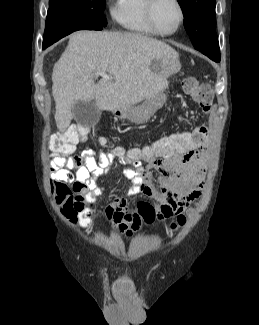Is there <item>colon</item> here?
Instances as JSON below:
<instances>
[{
    "instance_id": "1",
    "label": "colon",
    "mask_w": 259,
    "mask_h": 325,
    "mask_svg": "<svg viewBox=\"0 0 259 325\" xmlns=\"http://www.w3.org/2000/svg\"><path fill=\"white\" fill-rule=\"evenodd\" d=\"M182 89L194 102L199 104L205 112L211 109L212 105V90L210 87L202 83L196 77H186L182 81ZM87 127L78 126L72 127L64 132L54 135L50 140V149L55 156L67 155L71 153L78 141L87 134ZM195 132L197 134L195 135ZM209 134V129L202 125H195L194 130H182L181 135L174 133L158 139L150 145L134 148L131 154L135 158L150 159L158 154L171 149H199L200 143L206 139ZM119 148L114 149V151ZM136 213L139 218L145 222L151 223L155 219V209L152 205L146 202H140L137 205ZM193 210L187 213H181L176 220L171 224L169 233L172 234L184 228L190 221Z\"/></svg>"
}]
</instances>
